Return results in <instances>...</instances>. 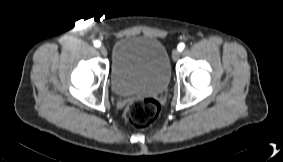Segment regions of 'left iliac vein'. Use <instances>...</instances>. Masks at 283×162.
<instances>
[{"instance_id": "obj_1", "label": "left iliac vein", "mask_w": 283, "mask_h": 162, "mask_svg": "<svg viewBox=\"0 0 283 162\" xmlns=\"http://www.w3.org/2000/svg\"><path fill=\"white\" fill-rule=\"evenodd\" d=\"M179 56H180V51L178 49H174L172 51V59L176 61L179 58Z\"/></svg>"}]
</instances>
